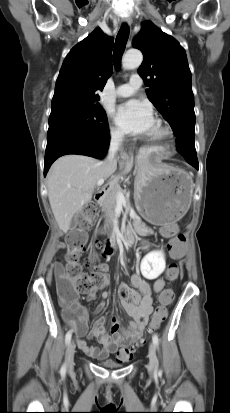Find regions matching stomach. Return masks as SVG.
Segmentation results:
<instances>
[{
  "label": "stomach",
  "instance_id": "0dacf381",
  "mask_svg": "<svg viewBox=\"0 0 230 413\" xmlns=\"http://www.w3.org/2000/svg\"><path fill=\"white\" fill-rule=\"evenodd\" d=\"M135 176V204L140 215L151 224L176 222L188 211L193 181L177 167L139 161Z\"/></svg>",
  "mask_w": 230,
  "mask_h": 413
}]
</instances>
